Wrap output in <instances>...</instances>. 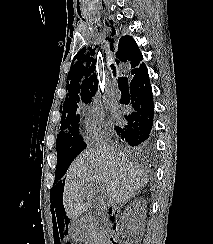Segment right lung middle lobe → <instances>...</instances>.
<instances>
[{
	"mask_svg": "<svg viewBox=\"0 0 213 244\" xmlns=\"http://www.w3.org/2000/svg\"><path fill=\"white\" fill-rule=\"evenodd\" d=\"M80 106L71 107L62 113L61 132L57 136V167L54 183L64 175L73 159L86 148L79 133Z\"/></svg>",
	"mask_w": 213,
	"mask_h": 244,
	"instance_id": "obj_1",
	"label": "right lung middle lobe"
}]
</instances>
